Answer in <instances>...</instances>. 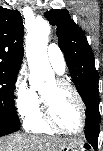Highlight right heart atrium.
I'll return each mask as SVG.
<instances>
[{
	"mask_svg": "<svg viewBox=\"0 0 103 151\" xmlns=\"http://www.w3.org/2000/svg\"><path fill=\"white\" fill-rule=\"evenodd\" d=\"M14 103L18 115L24 119L30 117L40 103L37 93L28 85L24 73H20L15 80Z\"/></svg>",
	"mask_w": 103,
	"mask_h": 151,
	"instance_id": "d8ad5b80",
	"label": "right heart atrium"
}]
</instances>
